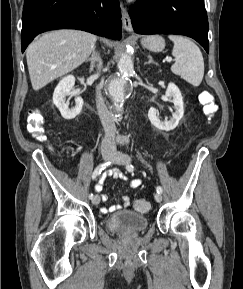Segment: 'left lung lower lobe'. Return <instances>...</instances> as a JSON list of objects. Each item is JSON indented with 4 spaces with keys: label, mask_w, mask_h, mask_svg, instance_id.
I'll use <instances>...</instances> for the list:
<instances>
[{
    "label": "left lung lower lobe",
    "mask_w": 243,
    "mask_h": 289,
    "mask_svg": "<svg viewBox=\"0 0 243 289\" xmlns=\"http://www.w3.org/2000/svg\"><path fill=\"white\" fill-rule=\"evenodd\" d=\"M129 15L138 34H182L209 53L208 19L204 0H138Z\"/></svg>",
    "instance_id": "1"
}]
</instances>
